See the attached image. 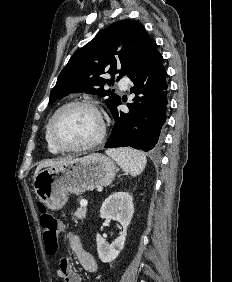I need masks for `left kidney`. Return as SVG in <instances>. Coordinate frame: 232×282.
I'll use <instances>...</instances> for the list:
<instances>
[{"mask_svg": "<svg viewBox=\"0 0 232 282\" xmlns=\"http://www.w3.org/2000/svg\"><path fill=\"white\" fill-rule=\"evenodd\" d=\"M134 213L132 197L127 192L112 193L102 204L100 209V217L106 219H114L123 226V231L119 237L108 244L100 234L96 236L97 252L102 262H112L115 260L121 250L124 248L127 227L129 226Z\"/></svg>", "mask_w": 232, "mask_h": 282, "instance_id": "left-kidney-1", "label": "left kidney"}]
</instances>
